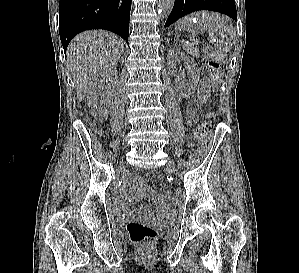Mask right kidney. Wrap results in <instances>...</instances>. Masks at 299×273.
I'll list each match as a JSON object with an SVG mask.
<instances>
[{
	"label": "right kidney",
	"instance_id": "obj_1",
	"mask_svg": "<svg viewBox=\"0 0 299 273\" xmlns=\"http://www.w3.org/2000/svg\"><path fill=\"white\" fill-rule=\"evenodd\" d=\"M117 77L116 69H106L98 72L88 84V106L91 114L99 121H104L108 117L113 100L114 81ZM106 83L108 86L104 88Z\"/></svg>",
	"mask_w": 299,
	"mask_h": 273
}]
</instances>
